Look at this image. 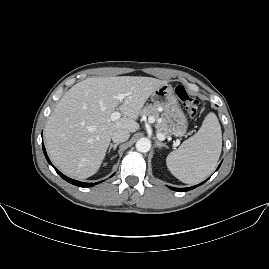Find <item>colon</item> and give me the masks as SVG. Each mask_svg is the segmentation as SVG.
Listing matches in <instances>:
<instances>
[{
    "instance_id": "1",
    "label": "colon",
    "mask_w": 269,
    "mask_h": 269,
    "mask_svg": "<svg viewBox=\"0 0 269 269\" xmlns=\"http://www.w3.org/2000/svg\"><path fill=\"white\" fill-rule=\"evenodd\" d=\"M175 93L183 104L187 114L191 117H196L199 114L200 101L193 95H190L182 85L175 86Z\"/></svg>"
}]
</instances>
